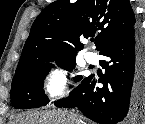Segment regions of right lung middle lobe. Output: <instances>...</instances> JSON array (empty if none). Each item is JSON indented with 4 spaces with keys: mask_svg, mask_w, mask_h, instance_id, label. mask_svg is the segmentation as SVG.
I'll return each mask as SVG.
<instances>
[{
    "mask_svg": "<svg viewBox=\"0 0 145 124\" xmlns=\"http://www.w3.org/2000/svg\"><path fill=\"white\" fill-rule=\"evenodd\" d=\"M52 61L67 71H72L75 67V57L55 58L38 62L15 75L10 98L16 108H38L49 103L48 97L44 94L43 81L52 66L49 62ZM75 80H82V76L75 77Z\"/></svg>",
    "mask_w": 145,
    "mask_h": 124,
    "instance_id": "dd1d6c3e",
    "label": "right lung middle lobe"
}]
</instances>
